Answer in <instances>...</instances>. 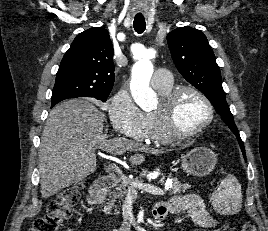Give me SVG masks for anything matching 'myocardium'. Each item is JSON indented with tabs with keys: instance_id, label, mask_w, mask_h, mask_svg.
<instances>
[{
	"instance_id": "obj_1",
	"label": "myocardium",
	"mask_w": 268,
	"mask_h": 231,
	"mask_svg": "<svg viewBox=\"0 0 268 231\" xmlns=\"http://www.w3.org/2000/svg\"><path fill=\"white\" fill-rule=\"evenodd\" d=\"M185 92H192L196 94L206 105L208 115L195 129L189 131H181L176 126L175 109L176 104ZM155 113L161 121L164 133L173 140H182L194 137L206 129L214 119V106L209 97L200 89L191 85H180L173 88L165 97H163L155 110Z\"/></svg>"
}]
</instances>
